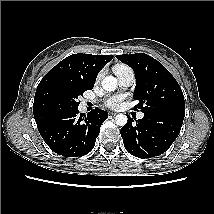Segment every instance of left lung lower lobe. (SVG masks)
Wrapping results in <instances>:
<instances>
[{
    "instance_id": "obj_1",
    "label": "left lung lower lobe",
    "mask_w": 214,
    "mask_h": 214,
    "mask_svg": "<svg viewBox=\"0 0 214 214\" xmlns=\"http://www.w3.org/2000/svg\"><path fill=\"white\" fill-rule=\"evenodd\" d=\"M184 117L161 113H144L121 128L125 149L133 156L151 158L166 152L180 133Z\"/></svg>"
}]
</instances>
